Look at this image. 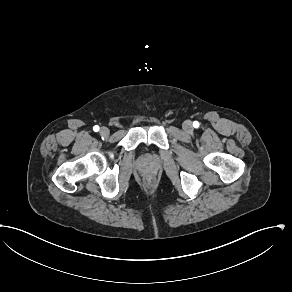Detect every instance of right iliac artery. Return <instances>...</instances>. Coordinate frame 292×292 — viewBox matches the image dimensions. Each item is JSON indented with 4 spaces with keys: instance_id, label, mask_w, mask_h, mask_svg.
<instances>
[{
    "instance_id": "right-iliac-artery-1",
    "label": "right iliac artery",
    "mask_w": 292,
    "mask_h": 292,
    "mask_svg": "<svg viewBox=\"0 0 292 292\" xmlns=\"http://www.w3.org/2000/svg\"><path fill=\"white\" fill-rule=\"evenodd\" d=\"M93 130H94L95 132L99 131V126H98V125H95V126L93 127Z\"/></svg>"
}]
</instances>
